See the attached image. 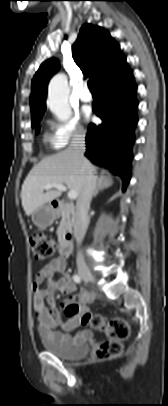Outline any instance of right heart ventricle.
<instances>
[{
  "mask_svg": "<svg viewBox=\"0 0 168 406\" xmlns=\"http://www.w3.org/2000/svg\"><path fill=\"white\" fill-rule=\"evenodd\" d=\"M44 139H45L46 142L50 143L52 146L57 147V146L55 145L54 140H53V137H52L51 135H49V134L46 133V134L44 135Z\"/></svg>",
  "mask_w": 168,
  "mask_h": 406,
  "instance_id": "e07e8e85",
  "label": "right heart ventricle"
}]
</instances>
